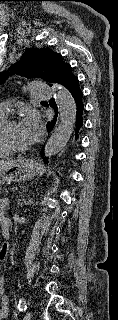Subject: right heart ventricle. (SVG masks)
<instances>
[{
  "instance_id": "e07e8e85",
  "label": "right heart ventricle",
  "mask_w": 118,
  "mask_h": 320,
  "mask_svg": "<svg viewBox=\"0 0 118 320\" xmlns=\"http://www.w3.org/2000/svg\"><path fill=\"white\" fill-rule=\"evenodd\" d=\"M5 119V114L0 112V124ZM11 152L8 151L1 143H0V157L8 156Z\"/></svg>"
}]
</instances>
